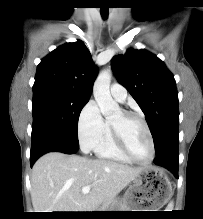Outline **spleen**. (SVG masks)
Returning a JSON list of instances; mask_svg holds the SVG:
<instances>
[{"mask_svg": "<svg viewBox=\"0 0 203 219\" xmlns=\"http://www.w3.org/2000/svg\"><path fill=\"white\" fill-rule=\"evenodd\" d=\"M169 206H170V208H172V207H173V202H171V203L169 204Z\"/></svg>", "mask_w": 203, "mask_h": 219, "instance_id": "1", "label": "spleen"}]
</instances>
